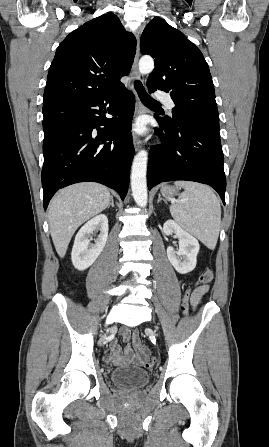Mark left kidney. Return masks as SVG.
<instances>
[{
	"instance_id": "5707ae66",
	"label": "left kidney",
	"mask_w": 269,
	"mask_h": 447,
	"mask_svg": "<svg viewBox=\"0 0 269 447\" xmlns=\"http://www.w3.org/2000/svg\"><path fill=\"white\" fill-rule=\"evenodd\" d=\"M163 231L165 235H171L175 233L174 237H178L179 245L182 249L175 251L172 245L167 247V257L172 263L173 267L179 271V273H188L192 271L197 263V253L199 251V241L187 231H184L180 225L173 222V220H167L163 225Z\"/></svg>"
}]
</instances>
